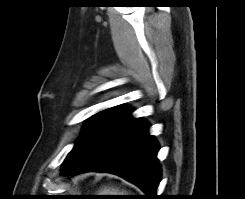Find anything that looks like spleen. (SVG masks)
Returning <instances> with one entry per match:
<instances>
[{"mask_svg":"<svg viewBox=\"0 0 245 199\" xmlns=\"http://www.w3.org/2000/svg\"><path fill=\"white\" fill-rule=\"evenodd\" d=\"M98 195H127L125 191H120L118 188L104 187Z\"/></svg>","mask_w":245,"mask_h":199,"instance_id":"obj_1","label":"spleen"}]
</instances>
